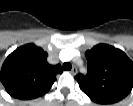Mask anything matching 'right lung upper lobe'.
Masks as SVG:
<instances>
[{
    "label": "right lung upper lobe",
    "mask_w": 133,
    "mask_h": 106,
    "mask_svg": "<svg viewBox=\"0 0 133 106\" xmlns=\"http://www.w3.org/2000/svg\"><path fill=\"white\" fill-rule=\"evenodd\" d=\"M48 54L34 44L17 48L3 63L0 80L14 98L28 100L44 95L53 85L61 66L47 62Z\"/></svg>",
    "instance_id": "1"
}]
</instances>
